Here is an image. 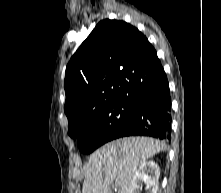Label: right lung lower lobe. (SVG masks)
<instances>
[{
	"label": "right lung lower lobe",
	"instance_id": "98d812e1",
	"mask_svg": "<svg viewBox=\"0 0 221 193\" xmlns=\"http://www.w3.org/2000/svg\"><path fill=\"white\" fill-rule=\"evenodd\" d=\"M132 135L171 139V98L162 66L138 95L137 110L128 124L113 139Z\"/></svg>",
	"mask_w": 221,
	"mask_h": 193
}]
</instances>
